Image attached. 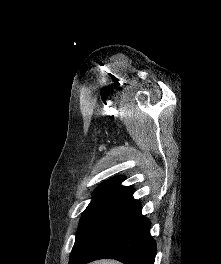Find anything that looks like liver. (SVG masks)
<instances>
[{"label":"liver","instance_id":"liver-1","mask_svg":"<svg viewBox=\"0 0 221 264\" xmlns=\"http://www.w3.org/2000/svg\"><path fill=\"white\" fill-rule=\"evenodd\" d=\"M90 264H121V263L114 261V260H99V261H95Z\"/></svg>","mask_w":221,"mask_h":264}]
</instances>
